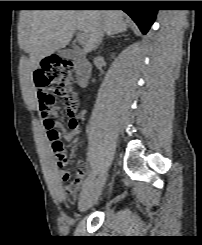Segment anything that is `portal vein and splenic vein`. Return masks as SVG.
<instances>
[{"label": "portal vein and splenic vein", "instance_id": "obj_1", "mask_svg": "<svg viewBox=\"0 0 202 245\" xmlns=\"http://www.w3.org/2000/svg\"><path fill=\"white\" fill-rule=\"evenodd\" d=\"M77 41L81 44L85 42V33L84 32H78L77 33Z\"/></svg>", "mask_w": 202, "mask_h": 245}]
</instances>
